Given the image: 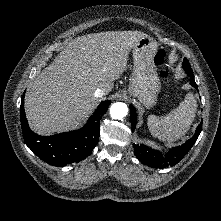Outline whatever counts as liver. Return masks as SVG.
Instances as JSON below:
<instances>
[{"label":"liver","mask_w":221,"mask_h":221,"mask_svg":"<svg viewBox=\"0 0 221 221\" xmlns=\"http://www.w3.org/2000/svg\"><path fill=\"white\" fill-rule=\"evenodd\" d=\"M140 31H107L71 40L37 75L25 98L34 132L49 135L75 128L94 110L97 88L109 93L125 70L129 53L145 36Z\"/></svg>","instance_id":"obj_1"}]
</instances>
